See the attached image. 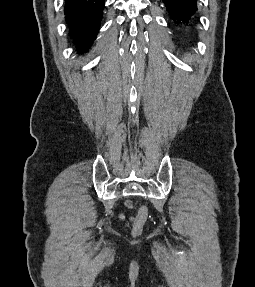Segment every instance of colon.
<instances>
[{"mask_svg":"<svg viewBox=\"0 0 255 287\" xmlns=\"http://www.w3.org/2000/svg\"><path fill=\"white\" fill-rule=\"evenodd\" d=\"M148 217H149L148 209L145 206L140 207L137 212V215L134 218L132 225L131 233L134 237H137L142 233Z\"/></svg>","mask_w":255,"mask_h":287,"instance_id":"colon-1","label":"colon"}]
</instances>
